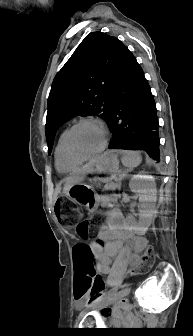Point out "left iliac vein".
<instances>
[{
    "label": "left iliac vein",
    "mask_w": 193,
    "mask_h": 336,
    "mask_svg": "<svg viewBox=\"0 0 193 336\" xmlns=\"http://www.w3.org/2000/svg\"><path fill=\"white\" fill-rule=\"evenodd\" d=\"M130 291H131L130 287H125L124 289L119 291L117 294H116V290L112 291L111 293L108 294L109 297L105 301L104 306H107V305L113 303L114 301L127 296L130 293ZM84 314H85V310L80 313L79 317H82Z\"/></svg>",
    "instance_id": "obj_1"
}]
</instances>
